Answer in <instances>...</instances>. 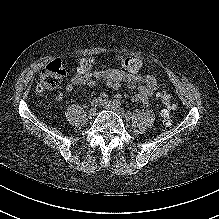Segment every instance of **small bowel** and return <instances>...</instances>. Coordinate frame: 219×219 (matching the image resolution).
<instances>
[{
  "instance_id": "c3829d8e",
  "label": "small bowel",
  "mask_w": 219,
  "mask_h": 219,
  "mask_svg": "<svg viewBox=\"0 0 219 219\" xmlns=\"http://www.w3.org/2000/svg\"><path fill=\"white\" fill-rule=\"evenodd\" d=\"M83 58L79 62L77 71L70 77L65 85L64 92L70 93L75 87H94L98 82H104L109 88L118 89L121 84H126L130 89L127 96L133 101H140L149 106L150 99L158 89L155 76L140 72L142 63L137 58L121 57L120 63L123 69H108L92 71L91 67H85ZM63 98V93L56 96L57 100Z\"/></svg>"
}]
</instances>
